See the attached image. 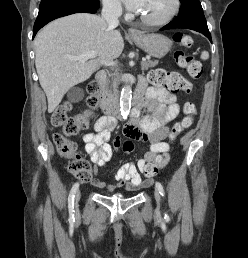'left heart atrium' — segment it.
I'll use <instances>...</instances> for the list:
<instances>
[{
	"mask_svg": "<svg viewBox=\"0 0 248 258\" xmlns=\"http://www.w3.org/2000/svg\"><path fill=\"white\" fill-rule=\"evenodd\" d=\"M127 7L133 11L138 12L142 9L143 0H125Z\"/></svg>",
	"mask_w": 248,
	"mask_h": 258,
	"instance_id": "left-heart-atrium-1",
	"label": "left heart atrium"
}]
</instances>
